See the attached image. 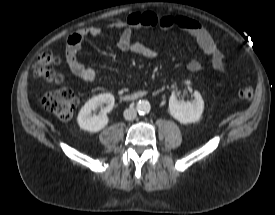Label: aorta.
Masks as SVG:
<instances>
[{"mask_svg":"<svg viewBox=\"0 0 275 215\" xmlns=\"http://www.w3.org/2000/svg\"><path fill=\"white\" fill-rule=\"evenodd\" d=\"M136 108L139 114H146L150 112L151 106L148 101L142 100L137 103Z\"/></svg>","mask_w":275,"mask_h":215,"instance_id":"1","label":"aorta"}]
</instances>
